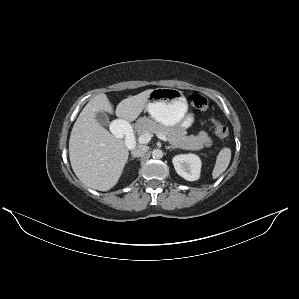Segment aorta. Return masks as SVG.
Here are the masks:
<instances>
[{"mask_svg":"<svg viewBox=\"0 0 299 299\" xmlns=\"http://www.w3.org/2000/svg\"><path fill=\"white\" fill-rule=\"evenodd\" d=\"M152 157L154 159H161L163 157V151L161 149H154L152 151Z\"/></svg>","mask_w":299,"mask_h":299,"instance_id":"aorta-1","label":"aorta"}]
</instances>
